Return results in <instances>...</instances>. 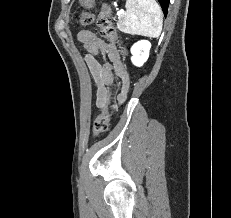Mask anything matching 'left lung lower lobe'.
Instances as JSON below:
<instances>
[{"label":"left lung lower lobe","mask_w":231,"mask_h":218,"mask_svg":"<svg viewBox=\"0 0 231 218\" xmlns=\"http://www.w3.org/2000/svg\"><path fill=\"white\" fill-rule=\"evenodd\" d=\"M161 7H162V10L164 12V15L166 16L167 15V12H168V6H169V1L170 0H158Z\"/></svg>","instance_id":"obj_1"}]
</instances>
